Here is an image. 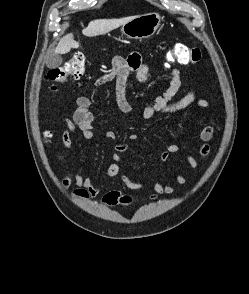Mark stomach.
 <instances>
[{
  "label": "stomach",
  "instance_id": "1",
  "mask_svg": "<svg viewBox=\"0 0 249 294\" xmlns=\"http://www.w3.org/2000/svg\"><path fill=\"white\" fill-rule=\"evenodd\" d=\"M161 17L157 13L136 16L122 25V33L129 39L142 40L151 37L158 29Z\"/></svg>",
  "mask_w": 249,
  "mask_h": 294
}]
</instances>
